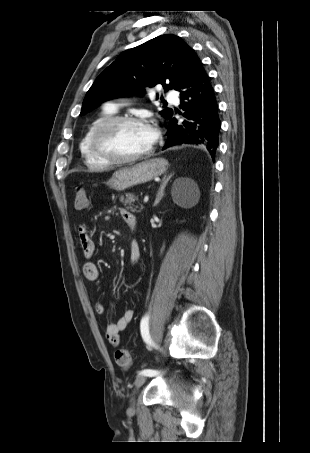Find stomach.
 <instances>
[{"label":"stomach","mask_w":310,"mask_h":453,"mask_svg":"<svg viewBox=\"0 0 310 453\" xmlns=\"http://www.w3.org/2000/svg\"><path fill=\"white\" fill-rule=\"evenodd\" d=\"M167 167L168 162L163 158L145 160L131 167L117 170L109 179L107 185L116 191H123L151 181L153 178L162 175Z\"/></svg>","instance_id":"0dacf381"}]
</instances>
